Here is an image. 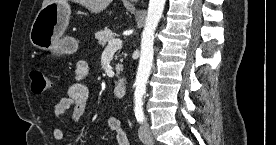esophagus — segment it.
<instances>
[{
  "label": "esophagus",
  "instance_id": "esophagus-1",
  "mask_svg": "<svg viewBox=\"0 0 276 145\" xmlns=\"http://www.w3.org/2000/svg\"><path fill=\"white\" fill-rule=\"evenodd\" d=\"M138 0H130V2H137Z\"/></svg>",
  "mask_w": 276,
  "mask_h": 145
}]
</instances>
